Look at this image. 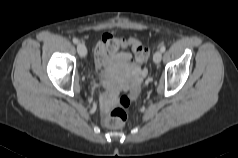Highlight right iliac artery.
<instances>
[{"label":"right iliac artery","instance_id":"obj_1","mask_svg":"<svg viewBox=\"0 0 238 158\" xmlns=\"http://www.w3.org/2000/svg\"><path fill=\"white\" fill-rule=\"evenodd\" d=\"M78 39L77 38H73V43H75V44H78Z\"/></svg>","mask_w":238,"mask_h":158}]
</instances>
